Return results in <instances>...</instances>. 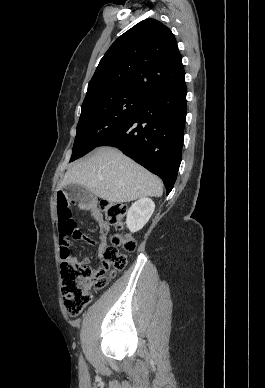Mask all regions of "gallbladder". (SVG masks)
Instances as JSON below:
<instances>
[{
    "label": "gallbladder",
    "mask_w": 265,
    "mask_h": 388,
    "mask_svg": "<svg viewBox=\"0 0 265 388\" xmlns=\"http://www.w3.org/2000/svg\"><path fill=\"white\" fill-rule=\"evenodd\" d=\"M64 190L73 202H82V204H84V202H88V200L94 198V194L89 192L84 186H80V184H68V186H65Z\"/></svg>",
    "instance_id": "1"
}]
</instances>
